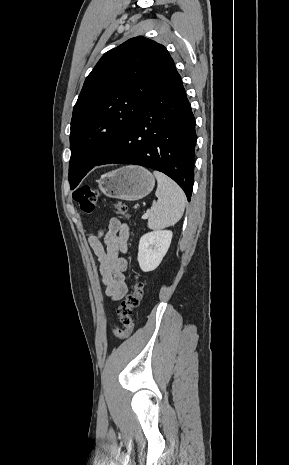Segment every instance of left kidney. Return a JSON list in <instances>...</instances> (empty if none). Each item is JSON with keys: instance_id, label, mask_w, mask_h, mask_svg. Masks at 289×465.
I'll return each instance as SVG.
<instances>
[{"instance_id": "1", "label": "left kidney", "mask_w": 289, "mask_h": 465, "mask_svg": "<svg viewBox=\"0 0 289 465\" xmlns=\"http://www.w3.org/2000/svg\"><path fill=\"white\" fill-rule=\"evenodd\" d=\"M172 232L157 230L144 234L139 241L138 262L142 271L155 270L171 244Z\"/></svg>"}]
</instances>
